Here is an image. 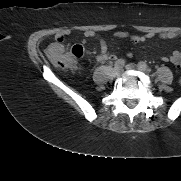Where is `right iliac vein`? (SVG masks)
<instances>
[{"label":"right iliac vein","mask_w":181,"mask_h":181,"mask_svg":"<svg viewBox=\"0 0 181 181\" xmlns=\"http://www.w3.org/2000/svg\"><path fill=\"white\" fill-rule=\"evenodd\" d=\"M123 71L121 66H115L113 69V73L115 76H119L121 74V72Z\"/></svg>","instance_id":"63e3f726"}]
</instances>
